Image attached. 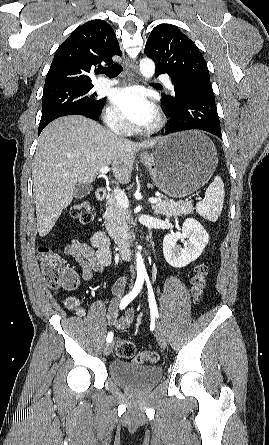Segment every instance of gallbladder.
I'll return each mask as SVG.
<instances>
[{"mask_svg": "<svg viewBox=\"0 0 269 445\" xmlns=\"http://www.w3.org/2000/svg\"><path fill=\"white\" fill-rule=\"evenodd\" d=\"M92 186L90 184H77L74 190V198L81 199L90 194Z\"/></svg>", "mask_w": 269, "mask_h": 445, "instance_id": "bac80fb5", "label": "gallbladder"}]
</instances>
